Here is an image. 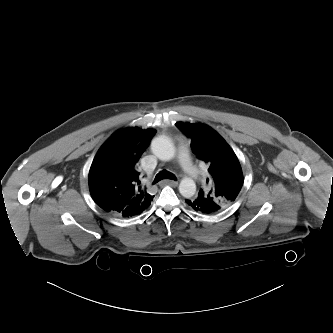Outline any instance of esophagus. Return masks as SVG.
<instances>
[{"label":"esophagus","instance_id":"obj_1","mask_svg":"<svg viewBox=\"0 0 333 333\" xmlns=\"http://www.w3.org/2000/svg\"><path fill=\"white\" fill-rule=\"evenodd\" d=\"M161 184H166V185H170V186H177L178 185V182L177 181H174V180H164L161 182Z\"/></svg>","mask_w":333,"mask_h":333}]
</instances>
